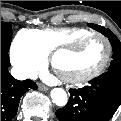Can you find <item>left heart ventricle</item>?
<instances>
[{"label": "left heart ventricle", "instance_id": "left-heart-ventricle-1", "mask_svg": "<svg viewBox=\"0 0 121 121\" xmlns=\"http://www.w3.org/2000/svg\"><path fill=\"white\" fill-rule=\"evenodd\" d=\"M105 56V43L100 38H92L78 54L63 52L56 60L57 67L63 72L93 69L98 67Z\"/></svg>", "mask_w": 121, "mask_h": 121}]
</instances>
